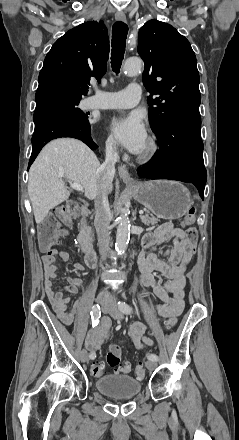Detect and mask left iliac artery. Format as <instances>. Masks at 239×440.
Returning <instances> with one entry per match:
<instances>
[{
    "label": "left iliac artery",
    "instance_id": "left-iliac-artery-1",
    "mask_svg": "<svg viewBox=\"0 0 239 440\" xmlns=\"http://www.w3.org/2000/svg\"><path fill=\"white\" fill-rule=\"evenodd\" d=\"M118 306L124 314H130L132 312V308L125 302H119ZM147 358L148 360L158 361V356L156 354H148Z\"/></svg>",
    "mask_w": 239,
    "mask_h": 440
}]
</instances>
